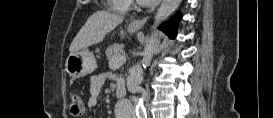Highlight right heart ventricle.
I'll return each instance as SVG.
<instances>
[{
	"instance_id": "obj_1",
	"label": "right heart ventricle",
	"mask_w": 273,
	"mask_h": 118,
	"mask_svg": "<svg viewBox=\"0 0 273 118\" xmlns=\"http://www.w3.org/2000/svg\"><path fill=\"white\" fill-rule=\"evenodd\" d=\"M111 3L113 4V9L117 12H125L128 7L127 1L122 0H111Z\"/></svg>"
}]
</instances>
